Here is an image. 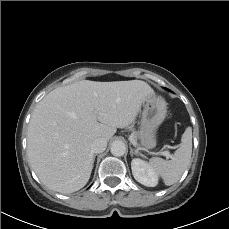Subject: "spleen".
<instances>
[{"label": "spleen", "mask_w": 229, "mask_h": 229, "mask_svg": "<svg viewBox=\"0 0 229 229\" xmlns=\"http://www.w3.org/2000/svg\"><path fill=\"white\" fill-rule=\"evenodd\" d=\"M191 154L192 130L188 127L183 133L180 146L174 152L171 160L153 157L149 161V166L157 175L161 176L166 185L170 186L179 181L189 166Z\"/></svg>", "instance_id": "spleen-1"}]
</instances>
